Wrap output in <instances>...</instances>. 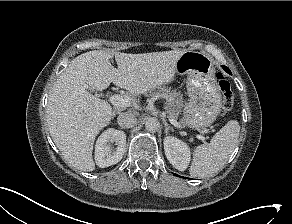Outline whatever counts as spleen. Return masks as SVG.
<instances>
[{
    "label": "spleen",
    "instance_id": "1",
    "mask_svg": "<svg viewBox=\"0 0 292 224\" xmlns=\"http://www.w3.org/2000/svg\"><path fill=\"white\" fill-rule=\"evenodd\" d=\"M239 132V122L231 120L213 136L210 143L197 146L189 169L190 175L204 178L218 173L236 147Z\"/></svg>",
    "mask_w": 292,
    "mask_h": 224
}]
</instances>
